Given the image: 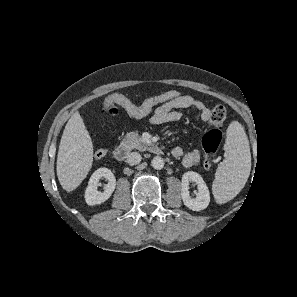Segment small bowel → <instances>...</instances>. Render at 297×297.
I'll return each mask as SVG.
<instances>
[{
    "label": "small bowel",
    "instance_id": "obj_1",
    "mask_svg": "<svg viewBox=\"0 0 297 297\" xmlns=\"http://www.w3.org/2000/svg\"><path fill=\"white\" fill-rule=\"evenodd\" d=\"M121 106L130 116L135 118L144 117L153 111L150 122L154 125L178 121L183 116L182 110L189 108L198 110L200 118L204 122L208 121L210 115L209 107L203 101L191 95H181L175 100L161 103L148 111H143L141 104L121 103ZM172 155L177 158L182 157V164L187 168L197 166L201 158V152L197 147L185 154L181 147H175L172 149Z\"/></svg>",
    "mask_w": 297,
    "mask_h": 297
}]
</instances>
